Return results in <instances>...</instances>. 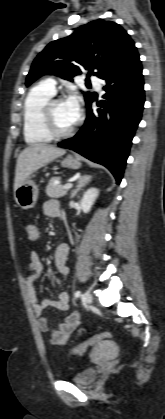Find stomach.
<instances>
[{"label":"stomach","instance_id":"0dacf381","mask_svg":"<svg viewBox=\"0 0 165 419\" xmlns=\"http://www.w3.org/2000/svg\"><path fill=\"white\" fill-rule=\"evenodd\" d=\"M61 165L70 169H79L81 162L76 157L68 155L61 161ZM38 195V186L32 177H29L14 191V200L22 209H30L35 206Z\"/></svg>","mask_w":165,"mask_h":419}]
</instances>
